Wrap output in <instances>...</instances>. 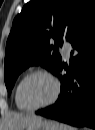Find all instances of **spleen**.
Wrapping results in <instances>:
<instances>
[{
  "instance_id": "1",
  "label": "spleen",
  "mask_w": 95,
  "mask_h": 130,
  "mask_svg": "<svg viewBox=\"0 0 95 130\" xmlns=\"http://www.w3.org/2000/svg\"><path fill=\"white\" fill-rule=\"evenodd\" d=\"M60 129L61 130H75L73 127L66 125V124H61Z\"/></svg>"
}]
</instances>
